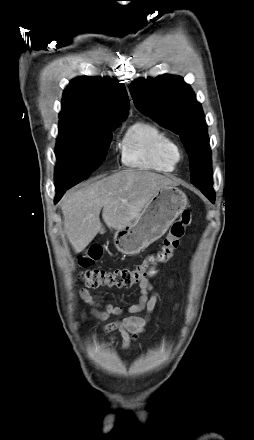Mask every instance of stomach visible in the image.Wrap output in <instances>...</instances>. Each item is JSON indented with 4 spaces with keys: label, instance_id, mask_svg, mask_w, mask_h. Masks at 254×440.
<instances>
[{
    "label": "stomach",
    "instance_id": "stomach-1",
    "mask_svg": "<svg viewBox=\"0 0 254 440\" xmlns=\"http://www.w3.org/2000/svg\"><path fill=\"white\" fill-rule=\"evenodd\" d=\"M187 204V196L180 189L172 185L161 188L135 222L116 230L115 247L122 254L139 253L166 233Z\"/></svg>",
    "mask_w": 254,
    "mask_h": 440
}]
</instances>
